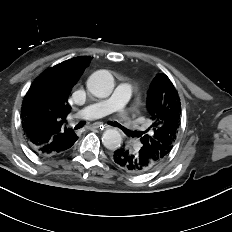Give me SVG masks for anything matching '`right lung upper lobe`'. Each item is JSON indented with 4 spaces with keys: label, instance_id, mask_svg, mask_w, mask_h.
Listing matches in <instances>:
<instances>
[{
    "label": "right lung upper lobe",
    "instance_id": "right-lung-upper-lobe-1",
    "mask_svg": "<svg viewBox=\"0 0 232 232\" xmlns=\"http://www.w3.org/2000/svg\"><path fill=\"white\" fill-rule=\"evenodd\" d=\"M90 56L75 57L44 71L29 88L21 108L22 126L27 140L43 145L57 137L74 136L63 123L71 107L68 97Z\"/></svg>",
    "mask_w": 232,
    "mask_h": 232
}]
</instances>
